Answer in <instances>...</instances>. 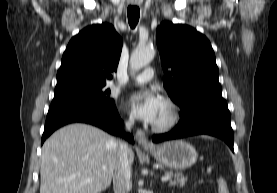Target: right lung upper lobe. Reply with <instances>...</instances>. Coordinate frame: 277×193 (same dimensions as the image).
Returning <instances> with one entry per match:
<instances>
[{
	"instance_id": "obj_1",
	"label": "right lung upper lobe",
	"mask_w": 277,
	"mask_h": 193,
	"mask_svg": "<svg viewBox=\"0 0 277 193\" xmlns=\"http://www.w3.org/2000/svg\"><path fill=\"white\" fill-rule=\"evenodd\" d=\"M122 39L107 23L91 25L74 36L57 72L55 93L105 85L117 71Z\"/></svg>"
}]
</instances>
